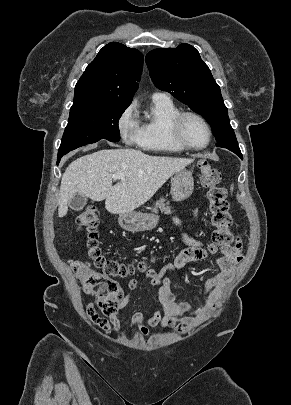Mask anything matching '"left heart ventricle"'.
I'll return each mask as SVG.
<instances>
[{
	"mask_svg": "<svg viewBox=\"0 0 291 405\" xmlns=\"http://www.w3.org/2000/svg\"><path fill=\"white\" fill-rule=\"evenodd\" d=\"M183 135L193 146H202L207 142V131L205 127L194 118H187L183 124Z\"/></svg>",
	"mask_w": 291,
	"mask_h": 405,
	"instance_id": "left-heart-ventricle-1",
	"label": "left heart ventricle"
}]
</instances>
